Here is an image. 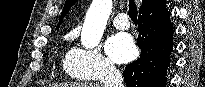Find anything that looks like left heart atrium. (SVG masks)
Wrapping results in <instances>:
<instances>
[{
  "instance_id": "1",
  "label": "left heart atrium",
  "mask_w": 205,
  "mask_h": 87,
  "mask_svg": "<svg viewBox=\"0 0 205 87\" xmlns=\"http://www.w3.org/2000/svg\"><path fill=\"white\" fill-rule=\"evenodd\" d=\"M109 57L117 63H125L135 56V45L132 38L125 33H118L106 43Z\"/></svg>"
}]
</instances>
